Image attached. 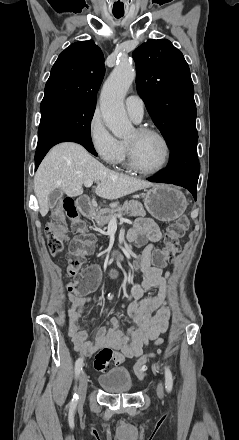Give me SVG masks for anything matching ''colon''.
Listing matches in <instances>:
<instances>
[{"label":"colon","mask_w":239,"mask_h":440,"mask_svg":"<svg viewBox=\"0 0 239 440\" xmlns=\"http://www.w3.org/2000/svg\"><path fill=\"white\" fill-rule=\"evenodd\" d=\"M65 218L72 221L73 231L77 234L67 256V274L70 277L76 278L74 281L75 289L78 292H85L90 286L99 284L101 275L99 269L95 267L82 270L86 257L91 254L93 250L92 239L91 236L86 233L85 223L80 218L74 201L70 198L64 200L62 207L54 213V221L46 228L49 249L51 253L55 255L63 250L66 236L60 224L63 223ZM188 225V218L181 216L168 226L165 235V246L153 253V265L162 267L173 258L178 247L179 239L184 236ZM158 355H160V352L142 356L135 365V373L140 378L144 377L147 362ZM114 359L115 355L113 351L103 349L96 354L94 367L96 370L102 371L111 365Z\"/></svg>","instance_id":"5ec220e1"}]
</instances>
